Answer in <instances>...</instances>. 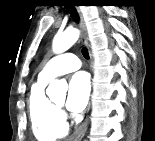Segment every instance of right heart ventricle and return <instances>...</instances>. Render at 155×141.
I'll return each instance as SVG.
<instances>
[{"instance_id": "e07e8e85", "label": "right heart ventricle", "mask_w": 155, "mask_h": 141, "mask_svg": "<svg viewBox=\"0 0 155 141\" xmlns=\"http://www.w3.org/2000/svg\"><path fill=\"white\" fill-rule=\"evenodd\" d=\"M48 80L39 78L31 87L28 110L32 130L39 141H54L66 136L68 127L57 107L45 94Z\"/></svg>"}]
</instances>
